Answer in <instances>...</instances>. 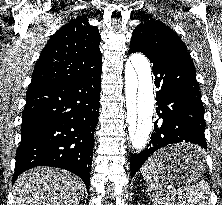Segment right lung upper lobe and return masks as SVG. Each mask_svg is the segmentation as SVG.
Returning a JSON list of instances; mask_svg holds the SVG:
<instances>
[{"label":"right lung upper lobe","mask_w":222,"mask_h":205,"mask_svg":"<svg viewBox=\"0 0 222 205\" xmlns=\"http://www.w3.org/2000/svg\"><path fill=\"white\" fill-rule=\"evenodd\" d=\"M101 37L86 17L69 21L47 42L35 65L29 87L83 78L101 68Z\"/></svg>","instance_id":"obj_1"}]
</instances>
